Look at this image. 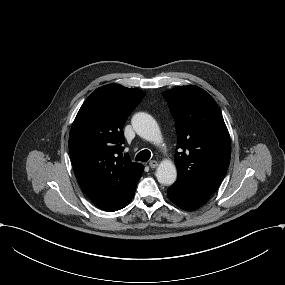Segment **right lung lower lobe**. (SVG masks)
<instances>
[{
  "instance_id": "98d812e1",
  "label": "right lung lower lobe",
  "mask_w": 285,
  "mask_h": 285,
  "mask_svg": "<svg viewBox=\"0 0 285 285\" xmlns=\"http://www.w3.org/2000/svg\"><path fill=\"white\" fill-rule=\"evenodd\" d=\"M134 194H135V190H134L133 194L131 195V197L128 199L127 203L123 207H125L131 201V199L133 198Z\"/></svg>"
}]
</instances>
